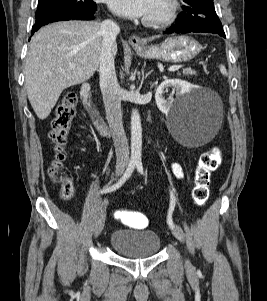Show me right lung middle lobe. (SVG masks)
Wrapping results in <instances>:
<instances>
[{"mask_svg":"<svg viewBox=\"0 0 267 301\" xmlns=\"http://www.w3.org/2000/svg\"><path fill=\"white\" fill-rule=\"evenodd\" d=\"M96 6L91 0H38L35 18L60 11L82 12Z\"/></svg>","mask_w":267,"mask_h":301,"instance_id":"dd1d6c3e","label":"right lung middle lobe"}]
</instances>
